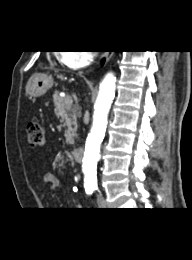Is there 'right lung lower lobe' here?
Wrapping results in <instances>:
<instances>
[{
	"label": "right lung lower lobe",
	"instance_id": "98d812e1",
	"mask_svg": "<svg viewBox=\"0 0 192 260\" xmlns=\"http://www.w3.org/2000/svg\"><path fill=\"white\" fill-rule=\"evenodd\" d=\"M104 63V59L102 60V64Z\"/></svg>",
	"mask_w": 192,
	"mask_h": 260
}]
</instances>
